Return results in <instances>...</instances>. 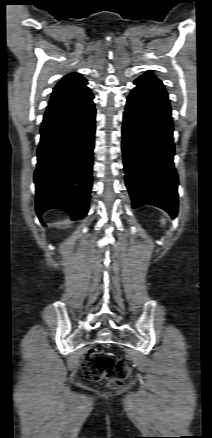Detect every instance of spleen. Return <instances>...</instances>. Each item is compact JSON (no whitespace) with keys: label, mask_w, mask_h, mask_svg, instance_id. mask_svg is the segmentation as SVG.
<instances>
[{"label":"spleen","mask_w":212,"mask_h":438,"mask_svg":"<svg viewBox=\"0 0 212 438\" xmlns=\"http://www.w3.org/2000/svg\"><path fill=\"white\" fill-rule=\"evenodd\" d=\"M161 222L164 225L165 224V219H161Z\"/></svg>","instance_id":"1"}]
</instances>
